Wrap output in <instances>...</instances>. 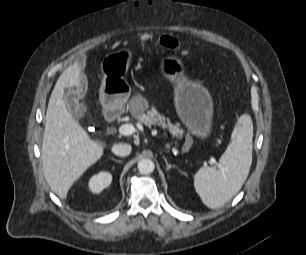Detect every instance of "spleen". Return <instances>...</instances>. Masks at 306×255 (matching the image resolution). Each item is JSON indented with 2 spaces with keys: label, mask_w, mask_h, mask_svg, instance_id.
I'll use <instances>...</instances> for the list:
<instances>
[{
  "label": "spleen",
  "mask_w": 306,
  "mask_h": 255,
  "mask_svg": "<svg viewBox=\"0 0 306 255\" xmlns=\"http://www.w3.org/2000/svg\"><path fill=\"white\" fill-rule=\"evenodd\" d=\"M253 123L243 114L232 131L231 142L220 158V169L202 167L194 175V187L202 202L211 209L231 200L246 181L252 164Z\"/></svg>",
  "instance_id": "obj_1"
}]
</instances>
